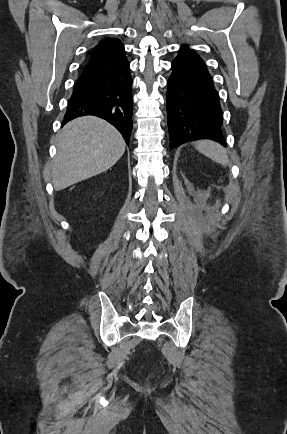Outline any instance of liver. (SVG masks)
<instances>
[{
  "mask_svg": "<svg viewBox=\"0 0 287 434\" xmlns=\"http://www.w3.org/2000/svg\"><path fill=\"white\" fill-rule=\"evenodd\" d=\"M125 146L121 134L103 119L84 116L70 121L58 136L51 172L55 190L107 171L122 157Z\"/></svg>",
  "mask_w": 287,
  "mask_h": 434,
  "instance_id": "6515ba94",
  "label": "liver"
}]
</instances>
